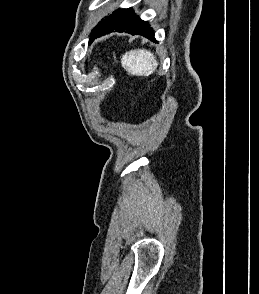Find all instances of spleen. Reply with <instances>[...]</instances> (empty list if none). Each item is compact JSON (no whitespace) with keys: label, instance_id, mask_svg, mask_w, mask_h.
I'll return each instance as SVG.
<instances>
[{"label":"spleen","instance_id":"1","mask_svg":"<svg viewBox=\"0 0 259 294\" xmlns=\"http://www.w3.org/2000/svg\"><path fill=\"white\" fill-rule=\"evenodd\" d=\"M121 65L131 75L149 76L156 70L158 62L151 51L135 49L122 55Z\"/></svg>","mask_w":259,"mask_h":294}]
</instances>
